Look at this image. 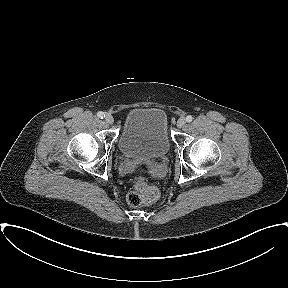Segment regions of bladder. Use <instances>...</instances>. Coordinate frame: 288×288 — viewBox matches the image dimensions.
Masks as SVG:
<instances>
[{
    "label": "bladder",
    "mask_w": 288,
    "mask_h": 288,
    "mask_svg": "<svg viewBox=\"0 0 288 288\" xmlns=\"http://www.w3.org/2000/svg\"><path fill=\"white\" fill-rule=\"evenodd\" d=\"M118 146L128 157L165 156L170 149L165 112L153 107L132 109L125 119Z\"/></svg>",
    "instance_id": "31cf9c89"
}]
</instances>
